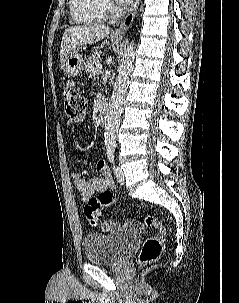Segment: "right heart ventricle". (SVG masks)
Returning a JSON list of instances; mask_svg holds the SVG:
<instances>
[{
    "mask_svg": "<svg viewBox=\"0 0 239 303\" xmlns=\"http://www.w3.org/2000/svg\"><path fill=\"white\" fill-rule=\"evenodd\" d=\"M73 19L78 23H97L105 18L102 0H69Z\"/></svg>",
    "mask_w": 239,
    "mask_h": 303,
    "instance_id": "right-heart-ventricle-1",
    "label": "right heart ventricle"
}]
</instances>
